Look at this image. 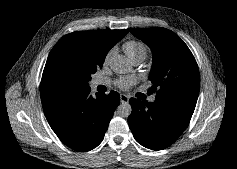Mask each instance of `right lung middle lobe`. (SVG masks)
<instances>
[{
	"label": "right lung middle lobe",
	"instance_id": "right-lung-middle-lobe-1",
	"mask_svg": "<svg viewBox=\"0 0 237 169\" xmlns=\"http://www.w3.org/2000/svg\"><path fill=\"white\" fill-rule=\"evenodd\" d=\"M102 64H97L82 55V52L76 49L66 51L56 62L54 73L58 77L73 79L81 86H89L91 74L101 68Z\"/></svg>",
	"mask_w": 237,
	"mask_h": 169
}]
</instances>
